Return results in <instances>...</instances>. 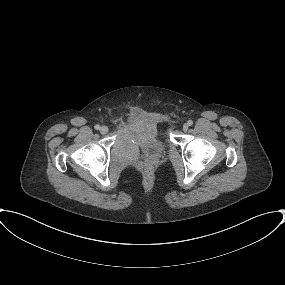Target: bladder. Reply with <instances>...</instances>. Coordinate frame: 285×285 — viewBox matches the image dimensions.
Listing matches in <instances>:
<instances>
[{"mask_svg":"<svg viewBox=\"0 0 285 285\" xmlns=\"http://www.w3.org/2000/svg\"><path fill=\"white\" fill-rule=\"evenodd\" d=\"M135 122H138L139 119L137 116L134 118ZM166 145V139L162 131L157 126H153L148 131V140L146 143V148L151 153L161 152Z\"/></svg>","mask_w":285,"mask_h":285,"instance_id":"31cf9c89","label":"bladder"}]
</instances>
